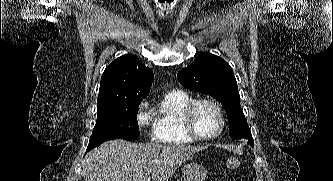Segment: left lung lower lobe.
Returning <instances> with one entry per match:
<instances>
[{
	"label": "left lung lower lobe",
	"instance_id": "0a47b994",
	"mask_svg": "<svg viewBox=\"0 0 333 181\" xmlns=\"http://www.w3.org/2000/svg\"><path fill=\"white\" fill-rule=\"evenodd\" d=\"M248 144H250L251 146H253V143H251V142H248Z\"/></svg>",
	"mask_w": 333,
	"mask_h": 181
}]
</instances>
